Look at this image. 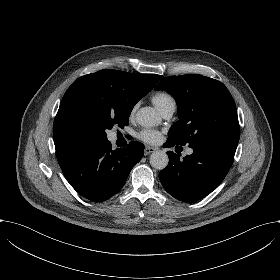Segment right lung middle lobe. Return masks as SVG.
Here are the masks:
<instances>
[{
    "mask_svg": "<svg viewBox=\"0 0 280 280\" xmlns=\"http://www.w3.org/2000/svg\"><path fill=\"white\" fill-rule=\"evenodd\" d=\"M132 109L105 103L95 106L85 115V124L92 132L95 142L107 141L106 130L112 129L114 125L123 128L129 123Z\"/></svg>",
    "mask_w": 280,
    "mask_h": 280,
    "instance_id": "right-lung-middle-lobe-1",
    "label": "right lung middle lobe"
}]
</instances>
